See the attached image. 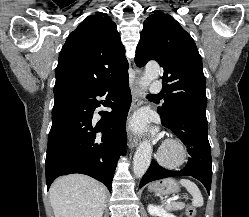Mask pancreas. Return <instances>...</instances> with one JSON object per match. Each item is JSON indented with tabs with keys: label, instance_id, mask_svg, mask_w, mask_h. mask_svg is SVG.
Instances as JSON below:
<instances>
[{
	"label": "pancreas",
	"instance_id": "1",
	"mask_svg": "<svg viewBox=\"0 0 249 217\" xmlns=\"http://www.w3.org/2000/svg\"><path fill=\"white\" fill-rule=\"evenodd\" d=\"M185 207V204L182 202H172L166 206L167 210H181Z\"/></svg>",
	"mask_w": 249,
	"mask_h": 217
}]
</instances>
